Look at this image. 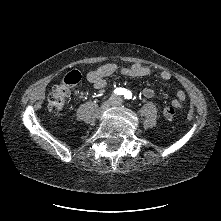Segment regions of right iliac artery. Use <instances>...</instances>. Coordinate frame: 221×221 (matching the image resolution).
Here are the masks:
<instances>
[{
	"label": "right iliac artery",
	"instance_id": "82829eb1",
	"mask_svg": "<svg viewBox=\"0 0 221 221\" xmlns=\"http://www.w3.org/2000/svg\"><path fill=\"white\" fill-rule=\"evenodd\" d=\"M126 92V90L124 89V88H117L116 90H115V93L117 94V95H122V94H124Z\"/></svg>",
	"mask_w": 221,
	"mask_h": 221
}]
</instances>
